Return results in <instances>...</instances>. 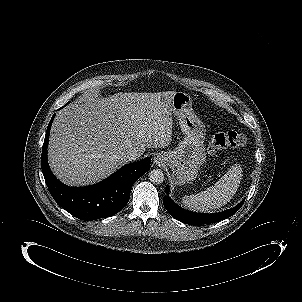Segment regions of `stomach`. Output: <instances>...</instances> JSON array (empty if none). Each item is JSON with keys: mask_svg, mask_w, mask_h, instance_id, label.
Wrapping results in <instances>:
<instances>
[{"mask_svg": "<svg viewBox=\"0 0 302 302\" xmlns=\"http://www.w3.org/2000/svg\"><path fill=\"white\" fill-rule=\"evenodd\" d=\"M171 112L178 119L184 139L178 146L165 152L166 165L171 169V179L176 185L190 183L197 178L200 166L206 160L205 126L194 114L192 98L185 92H176L172 98Z\"/></svg>", "mask_w": 302, "mask_h": 302, "instance_id": "stomach-1", "label": "stomach"}]
</instances>
